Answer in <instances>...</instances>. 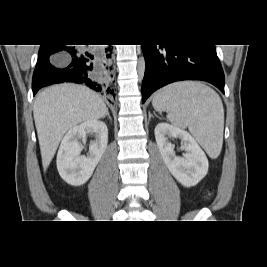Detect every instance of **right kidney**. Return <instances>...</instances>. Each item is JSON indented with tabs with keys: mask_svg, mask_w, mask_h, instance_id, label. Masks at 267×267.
I'll list each match as a JSON object with an SVG mask.
<instances>
[{
	"mask_svg": "<svg viewBox=\"0 0 267 267\" xmlns=\"http://www.w3.org/2000/svg\"><path fill=\"white\" fill-rule=\"evenodd\" d=\"M95 133L96 140L89 146L88 156H80L86 135ZM108 129L104 122L89 120L73 127L64 136L57 154V169L67 183L83 185L91 177L96 165L107 148Z\"/></svg>",
	"mask_w": 267,
	"mask_h": 267,
	"instance_id": "obj_1",
	"label": "right kidney"
}]
</instances>
